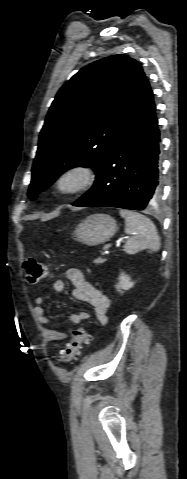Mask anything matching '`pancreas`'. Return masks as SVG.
<instances>
[{
    "mask_svg": "<svg viewBox=\"0 0 187 479\" xmlns=\"http://www.w3.org/2000/svg\"><path fill=\"white\" fill-rule=\"evenodd\" d=\"M106 261V259H103V258H97L94 260V263L95 264H101V263H104Z\"/></svg>",
    "mask_w": 187,
    "mask_h": 479,
    "instance_id": "pancreas-1",
    "label": "pancreas"
}]
</instances>
